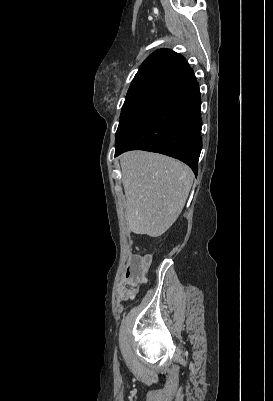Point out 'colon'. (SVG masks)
<instances>
[{
    "mask_svg": "<svg viewBox=\"0 0 273 401\" xmlns=\"http://www.w3.org/2000/svg\"><path fill=\"white\" fill-rule=\"evenodd\" d=\"M126 263L131 267L128 268L125 278L120 279L119 284L121 287L128 288H118V297H131L134 293H139V282H142L144 276H147L149 273L147 268L149 259L147 257H128Z\"/></svg>",
    "mask_w": 273,
    "mask_h": 401,
    "instance_id": "5ec220e1",
    "label": "colon"
}]
</instances>
